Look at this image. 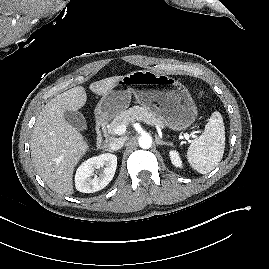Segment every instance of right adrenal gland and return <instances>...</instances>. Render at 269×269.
<instances>
[{
  "mask_svg": "<svg viewBox=\"0 0 269 269\" xmlns=\"http://www.w3.org/2000/svg\"><path fill=\"white\" fill-rule=\"evenodd\" d=\"M107 151L112 152V153L114 152V151H112V150H110V149H108Z\"/></svg>",
  "mask_w": 269,
  "mask_h": 269,
  "instance_id": "right-adrenal-gland-1",
  "label": "right adrenal gland"
}]
</instances>
